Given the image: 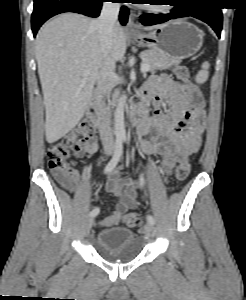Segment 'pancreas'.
I'll return each mask as SVG.
<instances>
[{"instance_id": "cf45deb5", "label": "pancreas", "mask_w": 246, "mask_h": 300, "mask_svg": "<svg viewBox=\"0 0 246 300\" xmlns=\"http://www.w3.org/2000/svg\"><path fill=\"white\" fill-rule=\"evenodd\" d=\"M142 58V64L149 65V71L154 72L155 70H165L169 69L172 66H177L181 61H175L168 59L162 53L154 50H147L140 53ZM119 92L116 91L113 95L112 104L116 101Z\"/></svg>"}]
</instances>
